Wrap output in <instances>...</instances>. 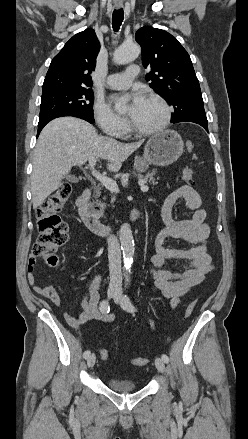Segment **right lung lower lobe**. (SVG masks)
I'll return each mask as SVG.
<instances>
[{"mask_svg": "<svg viewBox=\"0 0 248 439\" xmlns=\"http://www.w3.org/2000/svg\"><path fill=\"white\" fill-rule=\"evenodd\" d=\"M63 116H73V117L81 118V119H83V120L88 121V122L91 123V124L95 122L94 117H89V116L84 115V114H79V113H61V114H57V115H54V116H51V117H48V118H45V119L39 120L37 137H38L40 131L43 129V127H44L48 122H50L51 120H53V119H55V118L63 117Z\"/></svg>", "mask_w": 248, "mask_h": 439, "instance_id": "1", "label": "right lung lower lobe"}]
</instances>
